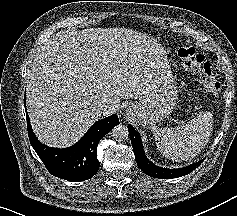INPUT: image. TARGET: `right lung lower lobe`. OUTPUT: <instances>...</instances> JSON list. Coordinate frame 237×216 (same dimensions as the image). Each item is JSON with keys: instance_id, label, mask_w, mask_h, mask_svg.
Segmentation results:
<instances>
[{"instance_id": "obj_1", "label": "right lung lower lobe", "mask_w": 237, "mask_h": 216, "mask_svg": "<svg viewBox=\"0 0 237 216\" xmlns=\"http://www.w3.org/2000/svg\"><path fill=\"white\" fill-rule=\"evenodd\" d=\"M24 107L30 143L53 176L79 182L90 179L97 173L100 166L97 160L98 143L103 136L119 124L117 115L97 121L75 145L58 149L48 147L37 139L32 131L25 102Z\"/></svg>"}]
</instances>
